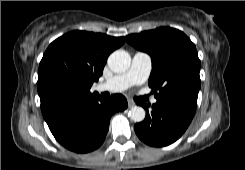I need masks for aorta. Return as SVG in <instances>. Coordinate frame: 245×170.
<instances>
[{
  "label": "aorta",
  "instance_id": "762f6f07",
  "mask_svg": "<svg viewBox=\"0 0 245 170\" xmlns=\"http://www.w3.org/2000/svg\"><path fill=\"white\" fill-rule=\"evenodd\" d=\"M131 64V57L128 52L124 50H116L110 54L108 58L109 68L116 72L121 73L129 69ZM145 110L140 106H133L130 109L129 117L134 122H141L145 119Z\"/></svg>",
  "mask_w": 245,
  "mask_h": 170
}]
</instances>
